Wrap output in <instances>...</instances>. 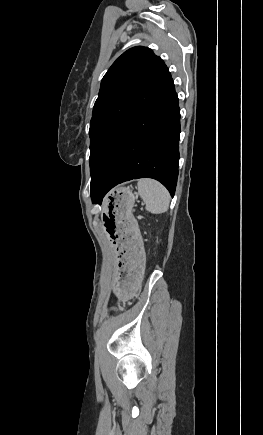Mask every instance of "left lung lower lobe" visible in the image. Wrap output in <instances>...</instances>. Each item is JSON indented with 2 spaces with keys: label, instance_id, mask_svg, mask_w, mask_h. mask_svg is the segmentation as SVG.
<instances>
[{
  "label": "left lung lower lobe",
  "instance_id": "left-lung-lower-lobe-1",
  "mask_svg": "<svg viewBox=\"0 0 263 435\" xmlns=\"http://www.w3.org/2000/svg\"><path fill=\"white\" fill-rule=\"evenodd\" d=\"M180 110L171 80L120 135L91 182V197L101 204L114 186L153 178L175 193L179 161Z\"/></svg>",
  "mask_w": 263,
  "mask_h": 435
}]
</instances>
